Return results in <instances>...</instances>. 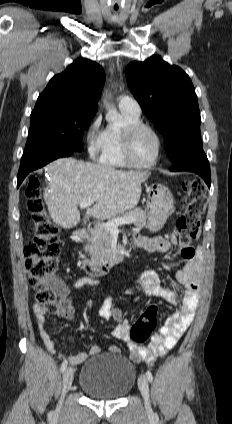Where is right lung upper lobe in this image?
Masks as SVG:
<instances>
[{
    "mask_svg": "<svg viewBox=\"0 0 232 424\" xmlns=\"http://www.w3.org/2000/svg\"><path fill=\"white\" fill-rule=\"evenodd\" d=\"M104 82L105 73L99 64L78 59L66 71L51 78L35 109L77 107L96 114Z\"/></svg>",
    "mask_w": 232,
    "mask_h": 424,
    "instance_id": "cb5924a9",
    "label": "right lung upper lobe"
}]
</instances>
